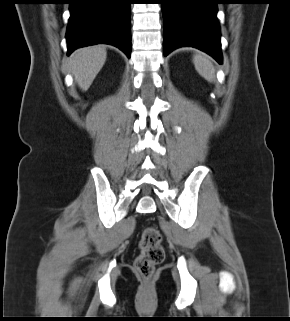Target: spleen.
Here are the masks:
<instances>
[{"instance_id":"1","label":"spleen","mask_w":290,"mask_h":321,"mask_svg":"<svg viewBox=\"0 0 290 321\" xmlns=\"http://www.w3.org/2000/svg\"><path fill=\"white\" fill-rule=\"evenodd\" d=\"M193 63L198 73L207 81L213 82L215 79V68L209 56L199 53L194 55Z\"/></svg>"}]
</instances>
